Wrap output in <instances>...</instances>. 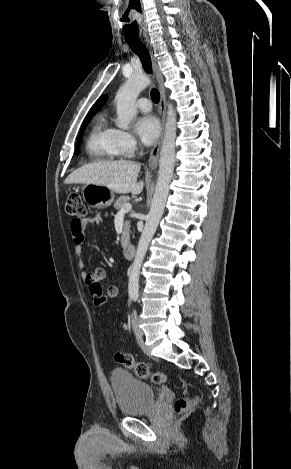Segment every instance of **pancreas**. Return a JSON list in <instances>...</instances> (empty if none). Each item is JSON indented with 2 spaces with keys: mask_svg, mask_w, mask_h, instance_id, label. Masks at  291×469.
Masks as SVG:
<instances>
[{
  "mask_svg": "<svg viewBox=\"0 0 291 469\" xmlns=\"http://www.w3.org/2000/svg\"><path fill=\"white\" fill-rule=\"evenodd\" d=\"M130 198L128 196H121L118 198L115 203L114 207L119 210L124 207L129 202ZM129 233H130V225L129 221H125L124 226H123V232H122V237H121V244L125 246L129 240Z\"/></svg>",
  "mask_w": 291,
  "mask_h": 469,
  "instance_id": "pancreas-1",
  "label": "pancreas"
}]
</instances>
